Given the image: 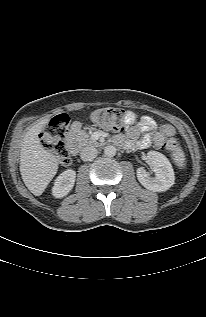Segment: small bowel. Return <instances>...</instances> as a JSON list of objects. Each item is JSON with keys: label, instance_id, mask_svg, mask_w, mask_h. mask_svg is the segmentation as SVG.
Segmentation results:
<instances>
[{"label": "small bowel", "instance_id": "1", "mask_svg": "<svg viewBox=\"0 0 206 317\" xmlns=\"http://www.w3.org/2000/svg\"><path fill=\"white\" fill-rule=\"evenodd\" d=\"M125 126L127 145L137 149H146L151 145L160 147L167 137L174 134V128L169 123L158 124L149 116H143L137 121L136 114L131 111L126 112ZM121 139V136L117 137V140Z\"/></svg>", "mask_w": 206, "mask_h": 317}]
</instances>
